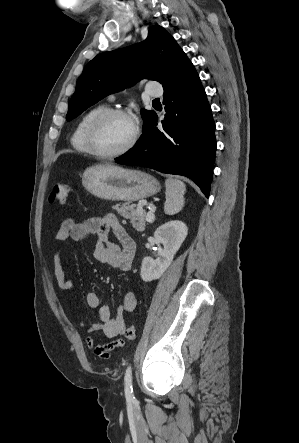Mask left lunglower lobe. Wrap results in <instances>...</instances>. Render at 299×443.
<instances>
[{
    "instance_id": "obj_1",
    "label": "left lung lower lobe",
    "mask_w": 299,
    "mask_h": 443,
    "mask_svg": "<svg viewBox=\"0 0 299 443\" xmlns=\"http://www.w3.org/2000/svg\"><path fill=\"white\" fill-rule=\"evenodd\" d=\"M163 88L167 112L161 121L163 128H157L154 113L144 124L137 144L115 162L186 176L208 198L216 151L215 124L193 64Z\"/></svg>"
}]
</instances>
